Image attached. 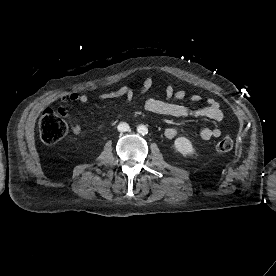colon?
<instances>
[{
	"mask_svg": "<svg viewBox=\"0 0 276 276\" xmlns=\"http://www.w3.org/2000/svg\"><path fill=\"white\" fill-rule=\"evenodd\" d=\"M41 139L46 144L60 141L68 132L67 122L53 109H47L39 121ZM219 152H229L233 148V140L229 136L222 137L216 145Z\"/></svg>",
	"mask_w": 276,
	"mask_h": 276,
	"instance_id": "obj_1",
	"label": "colon"
}]
</instances>
